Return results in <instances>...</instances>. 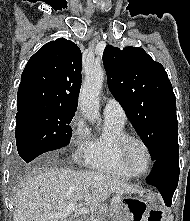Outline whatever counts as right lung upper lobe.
<instances>
[{"label":"right lung upper lobe","instance_id":"cb5924a9","mask_svg":"<svg viewBox=\"0 0 190 221\" xmlns=\"http://www.w3.org/2000/svg\"><path fill=\"white\" fill-rule=\"evenodd\" d=\"M81 51L65 38L50 41L27 62L17 110L45 107L76 111L81 87Z\"/></svg>","mask_w":190,"mask_h":221}]
</instances>
